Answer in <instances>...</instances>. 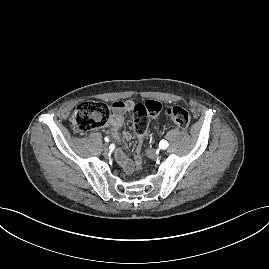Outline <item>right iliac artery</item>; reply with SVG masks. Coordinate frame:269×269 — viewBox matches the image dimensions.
<instances>
[{
	"label": "right iliac artery",
	"instance_id": "right-iliac-artery-1",
	"mask_svg": "<svg viewBox=\"0 0 269 269\" xmlns=\"http://www.w3.org/2000/svg\"><path fill=\"white\" fill-rule=\"evenodd\" d=\"M106 142H109V138L108 137H105L104 139Z\"/></svg>",
	"mask_w": 269,
	"mask_h": 269
}]
</instances>
